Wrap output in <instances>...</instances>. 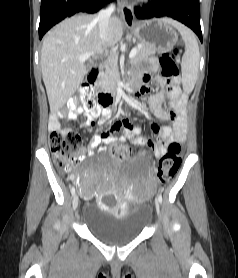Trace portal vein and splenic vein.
Masks as SVG:
<instances>
[{
	"mask_svg": "<svg viewBox=\"0 0 238 278\" xmlns=\"http://www.w3.org/2000/svg\"><path fill=\"white\" fill-rule=\"evenodd\" d=\"M137 54V48H133L129 54V59H132L133 57H135V55ZM93 55V53L89 52V53H85L83 55H81L78 60L80 62H84L86 61L88 58H90Z\"/></svg>",
	"mask_w": 238,
	"mask_h": 278,
	"instance_id": "obj_1",
	"label": "portal vein and splenic vein"
}]
</instances>
